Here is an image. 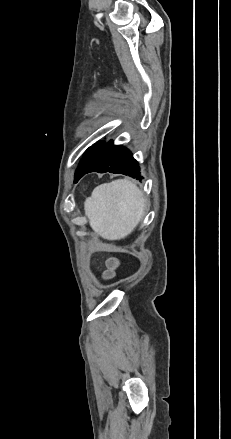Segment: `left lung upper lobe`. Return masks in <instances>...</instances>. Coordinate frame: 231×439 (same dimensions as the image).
<instances>
[{"label":"left lung upper lobe","instance_id":"1","mask_svg":"<svg viewBox=\"0 0 231 439\" xmlns=\"http://www.w3.org/2000/svg\"><path fill=\"white\" fill-rule=\"evenodd\" d=\"M104 141L96 142L91 147H89L85 153L83 154V158L81 159L78 169L75 172L74 181L77 182L80 175L91 166V164L94 162L96 156L98 155L100 149L104 145Z\"/></svg>","mask_w":231,"mask_h":439}]
</instances>
